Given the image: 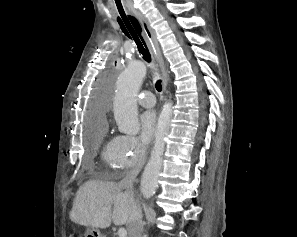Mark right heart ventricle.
I'll list each match as a JSON object with an SVG mask.
<instances>
[{
	"instance_id": "e07e8e85",
	"label": "right heart ventricle",
	"mask_w": 297,
	"mask_h": 237,
	"mask_svg": "<svg viewBox=\"0 0 297 237\" xmlns=\"http://www.w3.org/2000/svg\"><path fill=\"white\" fill-rule=\"evenodd\" d=\"M104 160L113 168H118L116 163V138L109 140L103 148Z\"/></svg>"
}]
</instances>
